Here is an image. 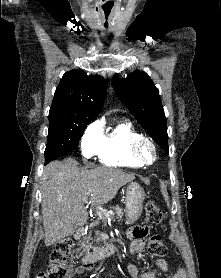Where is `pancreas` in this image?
<instances>
[{"mask_svg": "<svg viewBox=\"0 0 221 278\" xmlns=\"http://www.w3.org/2000/svg\"><path fill=\"white\" fill-rule=\"evenodd\" d=\"M112 211H115L113 212L112 215H109V216H114V214L117 215V218H119V221H121L122 217H123V210L121 207L119 206H115L112 208ZM98 215L100 216V219H96L95 222H91L90 224V229H91V233L93 234L96 229L101 225L102 223V220L105 221L107 219V215H105L101 210H98L97 211ZM89 241H90V235L87 239H85L83 242H81L82 246L80 249H83L82 253H88L89 249H90V245H89ZM81 253V254H82Z\"/></svg>", "mask_w": 221, "mask_h": 278, "instance_id": "1", "label": "pancreas"}]
</instances>
